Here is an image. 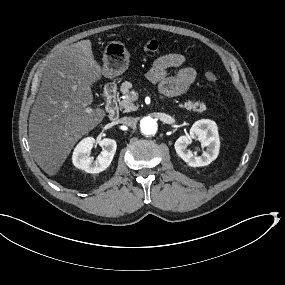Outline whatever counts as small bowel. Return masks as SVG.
<instances>
[{
	"mask_svg": "<svg viewBox=\"0 0 285 285\" xmlns=\"http://www.w3.org/2000/svg\"><path fill=\"white\" fill-rule=\"evenodd\" d=\"M185 57L179 53H168L159 56L149 69L147 77L158 83L164 96H177L189 90L196 80V71L184 66ZM176 69L174 75L170 71Z\"/></svg>",
	"mask_w": 285,
	"mask_h": 285,
	"instance_id": "obj_1",
	"label": "small bowel"
}]
</instances>
